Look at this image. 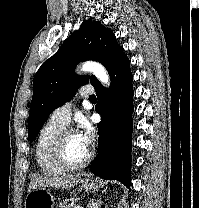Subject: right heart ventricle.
<instances>
[{
  "instance_id": "right-heart-ventricle-1",
  "label": "right heart ventricle",
  "mask_w": 199,
  "mask_h": 208,
  "mask_svg": "<svg viewBox=\"0 0 199 208\" xmlns=\"http://www.w3.org/2000/svg\"><path fill=\"white\" fill-rule=\"evenodd\" d=\"M65 125L50 119L41 129L35 146V160L40 170L47 175L62 172L52 160L51 149L57 135L65 129Z\"/></svg>"
}]
</instances>
